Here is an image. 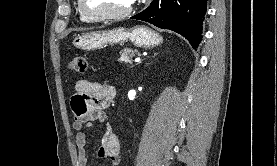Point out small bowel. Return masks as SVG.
Returning a JSON list of instances; mask_svg holds the SVG:
<instances>
[{
  "mask_svg": "<svg viewBox=\"0 0 277 166\" xmlns=\"http://www.w3.org/2000/svg\"><path fill=\"white\" fill-rule=\"evenodd\" d=\"M75 91L71 98V108L73 128L77 130L78 163L79 166H90L86 151L88 137L84 130L92 127L95 121H105V109L112 103L115 90L111 86L80 80L75 85ZM97 156L109 159L111 166H118L121 161L119 139L108 125L105 127Z\"/></svg>",
  "mask_w": 277,
  "mask_h": 166,
  "instance_id": "obj_1",
  "label": "small bowel"
}]
</instances>
